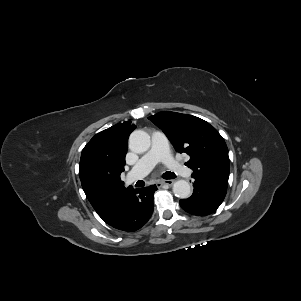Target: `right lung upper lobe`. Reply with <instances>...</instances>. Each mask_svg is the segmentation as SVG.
<instances>
[{
	"label": "right lung upper lobe",
	"instance_id": "cb5924a9",
	"mask_svg": "<svg viewBox=\"0 0 301 301\" xmlns=\"http://www.w3.org/2000/svg\"><path fill=\"white\" fill-rule=\"evenodd\" d=\"M136 128L131 121L116 124L96 134L81 154L79 176L82 188L98 215L106 222L115 212L125 188L120 179L124 171L127 140ZM104 178L109 186L100 189L95 181Z\"/></svg>",
	"mask_w": 301,
	"mask_h": 301
}]
</instances>
